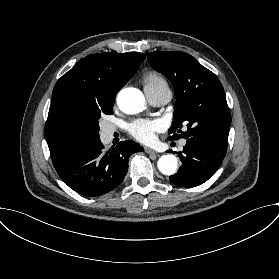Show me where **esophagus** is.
<instances>
[{
	"label": "esophagus",
	"instance_id": "obj_1",
	"mask_svg": "<svg viewBox=\"0 0 279 279\" xmlns=\"http://www.w3.org/2000/svg\"><path fill=\"white\" fill-rule=\"evenodd\" d=\"M145 152L150 156H156L157 152L149 147H144Z\"/></svg>",
	"mask_w": 279,
	"mask_h": 279
}]
</instances>
